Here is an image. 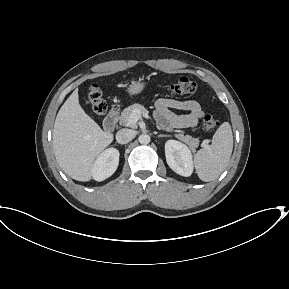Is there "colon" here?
<instances>
[{"mask_svg":"<svg viewBox=\"0 0 289 289\" xmlns=\"http://www.w3.org/2000/svg\"><path fill=\"white\" fill-rule=\"evenodd\" d=\"M165 89L176 95H189L197 90V82L186 75L175 77ZM87 101L92 111L97 115H103L107 106L102 99V93L97 85H92L87 93ZM203 129L207 132L215 130L219 126V120L213 115H206L202 123Z\"/></svg>","mask_w":289,"mask_h":289,"instance_id":"colon-1","label":"colon"}]
</instances>
